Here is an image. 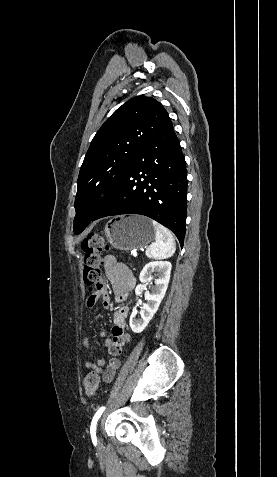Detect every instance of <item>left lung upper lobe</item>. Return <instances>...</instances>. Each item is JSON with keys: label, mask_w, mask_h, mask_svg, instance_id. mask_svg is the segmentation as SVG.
I'll use <instances>...</instances> for the list:
<instances>
[{"label": "left lung upper lobe", "mask_w": 277, "mask_h": 477, "mask_svg": "<svg viewBox=\"0 0 277 477\" xmlns=\"http://www.w3.org/2000/svg\"><path fill=\"white\" fill-rule=\"evenodd\" d=\"M161 103L137 96L119 107L101 126L86 153L78 177L74 233L84 230L106 204L138 152L169 122ZM106 191L98 200L96 194Z\"/></svg>", "instance_id": "obj_1"}]
</instances>
